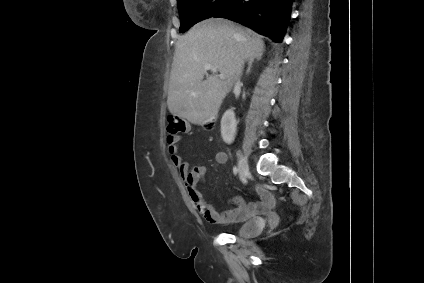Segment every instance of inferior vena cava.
<instances>
[{
  "label": "inferior vena cava",
  "instance_id": "obj_1",
  "mask_svg": "<svg viewBox=\"0 0 424 283\" xmlns=\"http://www.w3.org/2000/svg\"><path fill=\"white\" fill-rule=\"evenodd\" d=\"M242 64L243 63L239 64V67H238V70H237V73H236V78L235 79H236L237 83L240 82V76L242 74V69H243Z\"/></svg>",
  "mask_w": 424,
  "mask_h": 283
}]
</instances>
